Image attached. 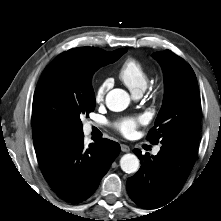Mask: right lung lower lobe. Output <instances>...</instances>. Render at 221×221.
I'll return each mask as SVG.
<instances>
[{"mask_svg":"<svg viewBox=\"0 0 221 221\" xmlns=\"http://www.w3.org/2000/svg\"><path fill=\"white\" fill-rule=\"evenodd\" d=\"M83 132L55 135L34 142L41 171L55 193L79 203L97 189L120 152L117 142L96 138L85 147Z\"/></svg>","mask_w":221,"mask_h":221,"instance_id":"98d812e1","label":"right lung lower lobe"}]
</instances>
